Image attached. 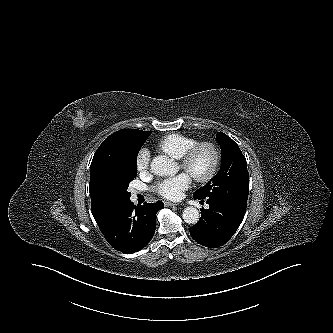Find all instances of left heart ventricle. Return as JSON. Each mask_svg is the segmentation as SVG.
<instances>
[{
	"instance_id": "1",
	"label": "left heart ventricle",
	"mask_w": 333,
	"mask_h": 333,
	"mask_svg": "<svg viewBox=\"0 0 333 333\" xmlns=\"http://www.w3.org/2000/svg\"><path fill=\"white\" fill-rule=\"evenodd\" d=\"M210 163V153L207 150H201L191 164L190 173L197 175L204 174L208 170Z\"/></svg>"
}]
</instances>
